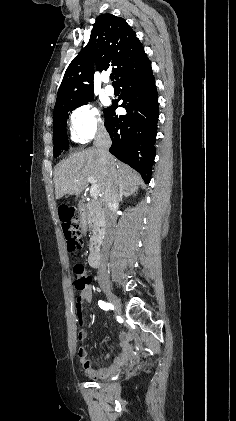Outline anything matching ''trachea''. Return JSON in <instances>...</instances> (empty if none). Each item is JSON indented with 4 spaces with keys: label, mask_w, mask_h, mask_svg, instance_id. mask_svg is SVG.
I'll return each instance as SVG.
<instances>
[{
    "label": "trachea",
    "mask_w": 236,
    "mask_h": 421,
    "mask_svg": "<svg viewBox=\"0 0 236 421\" xmlns=\"http://www.w3.org/2000/svg\"><path fill=\"white\" fill-rule=\"evenodd\" d=\"M114 79H115L114 75H113V74H111V75H110V80H112V82H113V83H116V82H114Z\"/></svg>",
    "instance_id": "obj_1"
}]
</instances>
